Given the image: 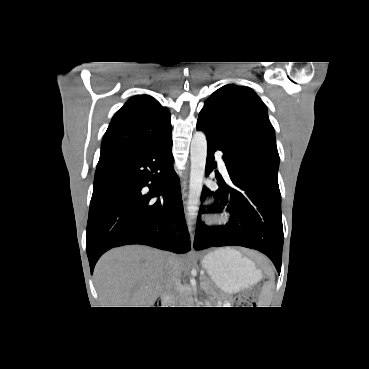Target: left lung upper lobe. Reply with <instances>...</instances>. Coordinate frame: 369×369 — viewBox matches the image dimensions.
<instances>
[{
    "instance_id": "left-lung-upper-lobe-1",
    "label": "left lung upper lobe",
    "mask_w": 369,
    "mask_h": 369,
    "mask_svg": "<svg viewBox=\"0 0 369 369\" xmlns=\"http://www.w3.org/2000/svg\"><path fill=\"white\" fill-rule=\"evenodd\" d=\"M225 148L247 159L243 177H264L278 185L279 154L274 128L262 100L248 87L228 84L213 93L199 113Z\"/></svg>"
}]
</instances>
